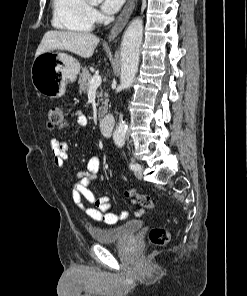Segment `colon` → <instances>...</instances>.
Wrapping results in <instances>:
<instances>
[{"mask_svg":"<svg viewBox=\"0 0 247 296\" xmlns=\"http://www.w3.org/2000/svg\"><path fill=\"white\" fill-rule=\"evenodd\" d=\"M65 115L63 109L59 106H52L48 110L47 124L50 129H59L65 126ZM127 198L135 199L141 206L145 208H154L156 201L147 195L136 193L134 190L125 192ZM151 245L159 247L165 245L169 240V232L162 227H154L148 235Z\"/></svg>","mask_w":247,"mask_h":296,"instance_id":"1","label":"colon"}]
</instances>
